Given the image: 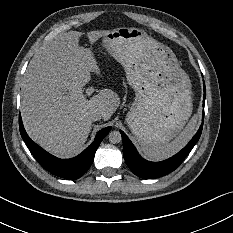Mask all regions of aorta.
<instances>
[{"label":"aorta","instance_id":"1","mask_svg":"<svg viewBox=\"0 0 233 233\" xmlns=\"http://www.w3.org/2000/svg\"><path fill=\"white\" fill-rule=\"evenodd\" d=\"M122 139L121 133L117 130L110 131L109 140L111 143L116 144L119 143Z\"/></svg>","mask_w":233,"mask_h":233}]
</instances>
